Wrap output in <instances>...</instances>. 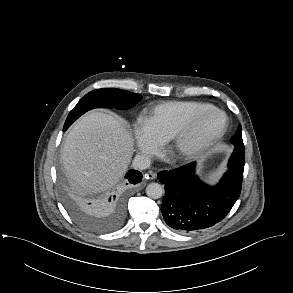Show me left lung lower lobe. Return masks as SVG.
Listing matches in <instances>:
<instances>
[{"mask_svg":"<svg viewBox=\"0 0 293 293\" xmlns=\"http://www.w3.org/2000/svg\"><path fill=\"white\" fill-rule=\"evenodd\" d=\"M244 163L245 159L231 157L215 186L199 179L195 162L159 172L158 179L165 185L161 211L167 225L180 233H194L220 222L240 196Z\"/></svg>","mask_w":293,"mask_h":293,"instance_id":"left-lung-lower-lobe-1","label":"left lung lower lobe"}]
</instances>
